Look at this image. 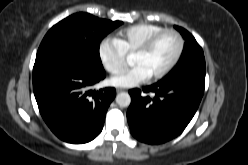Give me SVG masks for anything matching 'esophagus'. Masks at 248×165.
Returning a JSON list of instances; mask_svg holds the SVG:
<instances>
[{"mask_svg":"<svg viewBox=\"0 0 248 165\" xmlns=\"http://www.w3.org/2000/svg\"><path fill=\"white\" fill-rule=\"evenodd\" d=\"M123 91H124V89H121V88H117V89H116V92H117V93H120V92H123Z\"/></svg>","mask_w":248,"mask_h":165,"instance_id":"34e87169","label":"esophagus"}]
</instances>
